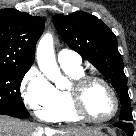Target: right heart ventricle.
I'll list each match as a JSON object with an SVG mask.
<instances>
[{
    "instance_id": "obj_1",
    "label": "right heart ventricle",
    "mask_w": 136,
    "mask_h": 136,
    "mask_svg": "<svg viewBox=\"0 0 136 136\" xmlns=\"http://www.w3.org/2000/svg\"><path fill=\"white\" fill-rule=\"evenodd\" d=\"M64 72L73 80L83 76L82 68L62 66ZM58 107L48 121L52 122H78L81 119L74 113L68 90L56 89Z\"/></svg>"
}]
</instances>
